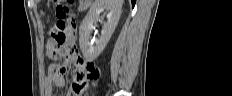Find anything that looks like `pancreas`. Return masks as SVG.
I'll list each match as a JSON object with an SVG mask.
<instances>
[{
    "label": "pancreas",
    "mask_w": 232,
    "mask_h": 96,
    "mask_svg": "<svg viewBox=\"0 0 232 96\" xmlns=\"http://www.w3.org/2000/svg\"><path fill=\"white\" fill-rule=\"evenodd\" d=\"M90 4H80L79 6V11H85Z\"/></svg>",
    "instance_id": "cf45deb5"
}]
</instances>
